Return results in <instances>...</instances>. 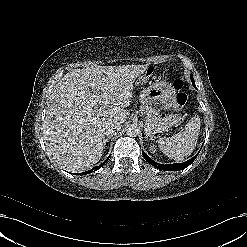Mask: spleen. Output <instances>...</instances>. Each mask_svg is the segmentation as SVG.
<instances>
[{
  "label": "spleen",
  "mask_w": 247,
  "mask_h": 247,
  "mask_svg": "<svg viewBox=\"0 0 247 247\" xmlns=\"http://www.w3.org/2000/svg\"><path fill=\"white\" fill-rule=\"evenodd\" d=\"M200 125L199 116L192 117L184 130L159 142L160 150L175 161H183L185 157L192 154L196 147Z\"/></svg>",
  "instance_id": "1"
}]
</instances>
